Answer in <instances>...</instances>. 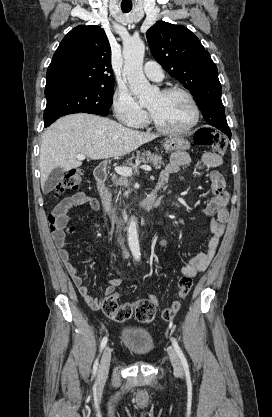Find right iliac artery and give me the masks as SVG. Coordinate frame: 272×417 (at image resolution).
Segmentation results:
<instances>
[{"instance_id": "1", "label": "right iliac artery", "mask_w": 272, "mask_h": 417, "mask_svg": "<svg viewBox=\"0 0 272 417\" xmlns=\"http://www.w3.org/2000/svg\"><path fill=\"white\" fill-rule=\"evenodd\" d=\"M106 343H107V337L105 336V337L102 339V341H101V344H100V351H102V350L104 349V347L106 346ZM97 363H98V360H96V362H95V366H97Z\"/></svg>"}]
</instances>
